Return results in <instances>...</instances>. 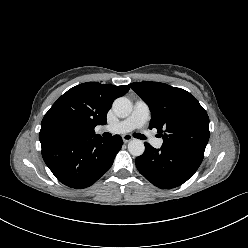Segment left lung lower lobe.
Here are the masks:
<instances>
[{
	"instance_id": "left-lung-lower-lobe-1",
	"label": "left lung lower lobe",
	"mask_w": 248,
	"mask_h": 248,
	"mask_svg": "<svg viewBox=\"0 0 248 248\" xmlns=\"http://www.w3.org/2000/svg\"><path fill=\"white\" fill-rule=\"evenodd\" d=\"M203 156L167 149L153 148L145 143L144 153L136 158L139 172L152 184L162 189H171L186 182L198 169Z\"/></svg>"
}]
</instances>
